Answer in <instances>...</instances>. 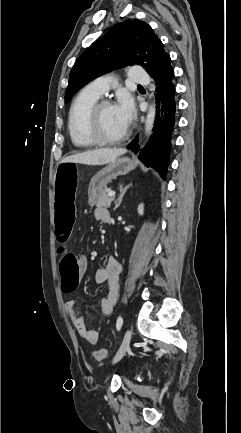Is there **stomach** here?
I'll return each mask as SVG.
<instances>
[{"mask_svg": "<svg viewBox=\"0 0 241 433\" xmlns=\"http://www.w3.org/2000/svg\"><path fill=\"white\" fill-rule=\"evenodd\" d=\"M136 167L135 161L121 157L110 162L98 171L90 180L88 186V203L94 205L99 194L106 188L107 184L118 176L128 174Z\"/></svg>", "mask_w": 241, "mask_h": 433, "instance_id": "1", "label": "stomach"}]
</instances>
